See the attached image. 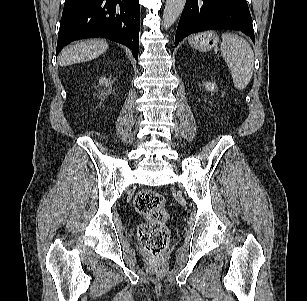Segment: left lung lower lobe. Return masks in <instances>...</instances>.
<instances>
[{
	"label": "left lung lower lobe",
	"instance_id": "1",
	"mask_svg": "<svg viewBox=\"0 0 307 301\" xmlns=\"http://www.w3.org/2000/svg\"><path fill=\"white\" fill-rule=\"evenodd\" d=\"M209 29L239 30L255 42L246 0H186L176 31L175 46L184 37Z\"/></svg>",
	"mask_w": 307,
	"mask_h": 301
}]
</instances>
